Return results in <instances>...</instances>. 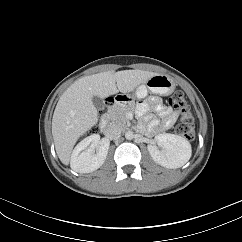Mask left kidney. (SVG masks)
Returning a JSON list of instances; mask_svg holds the SVG:
<instances>
[{"instance_id": "5707ae66", "label": "left kidney", "mask_w": 242, "mask_h": 242, "mask_svg": "<svg viewBox=\"0 0 242 242\" xmlns=\"http://www.w3.org/2000/svg\"><path fill=\"white\" fill-rule=\"evenodd\" d=\"M156 145H149L148 151L152 159L159 165L175 169L188 162L191 157V145L185 138L163 133L155 137Z\"/></svg>"}]
</instances>
